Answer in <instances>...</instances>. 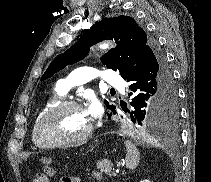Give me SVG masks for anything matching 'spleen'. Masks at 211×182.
I'll return each instance as SVG.
<instances>
[{
    "instance_id": "spleen-1",
    "label": "spleen",
    "mask_w": 211,
    "mask_h": 182,
    "mask_svg": "<svg viewBox=\"0 0 211 182\" xmlns=\"http://www.w3.org/2000/svg\"><path fill=\"white\" fill-rule=\"evenodd\" d=\"M125 146L127 149V154L125 157L126 167L129 169H135L138 166L140 160L139 151L130 141H125Z\"/></svg>"
}]
</instances>
